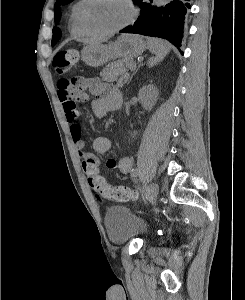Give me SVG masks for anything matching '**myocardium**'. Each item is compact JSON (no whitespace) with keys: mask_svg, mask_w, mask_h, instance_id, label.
I'll return each mask as SVG.
<instances>
[{"mask_svg":"<svg viewBox=\"0 0 245 300\" xmlns=\"http://www.w3.org/2000/svg\"><path fill=\"white\" fill-rule=\"evenodd\" d=\"M92 0H83V3L81 4L79 10H78V14H77V20L78 23L80 25V27L82 28V30L87 34V35H92V36H109L112 34H115L121 30H123L124 28H126L127 26H129L134 19L136 18L137 15V9L133 3L132 0H124V2L127 4L130 14L128 19L122 23L121 25L109 29V30H104V31H93L91 29H89L84 21V11L85 8L88 6V4L91 2Z\"/></svg>","mask_w":245,"mask_h":300,"instance_id":"f54148a6","label":"myocardium"}]
</instances>
